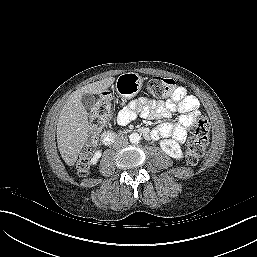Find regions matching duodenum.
Masks as SVG:
<instances>
[{"label":"duodenum","mask_w":257,"mask_h":257,"mask_svg":"<svg viewBox=\"0 0 257 257\" xmlns=\"http://www.w3.org/2000/svg\"><path fill=\"white\" fill-rule=\"evenodd\" d=\"M139 132L146 137L150 136V131L148 128H141L139 129ZM116 137H117V134L115 132L107 131L102 136V142L104 145L109 146L115 141Z\"/></svg>","instance_id":"1"}]
</instances>
